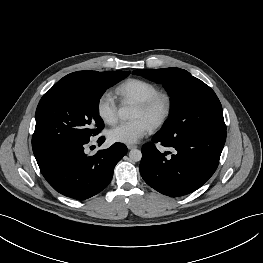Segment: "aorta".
I'll return each instance as SVG.
<instances>
[{
  "label": "aorta",
  "instance_id": "obj_1",
  "mask_svg": "<svg viewBox=\"0 0 263 263\" xmlns=\"http://www.w3.org/2000/svg\"><path fill=\"white\" fill-rule=\"evenodd\" d=\"M118 114L123 119H131L134 116V108L131 106H124L118 110ZM129 158L133 162H138L142 158V153L138 149H132L129 152Z\"/></svg>",
  "mask_w": 263,
  "mask_h": 263
}]
</instances>
